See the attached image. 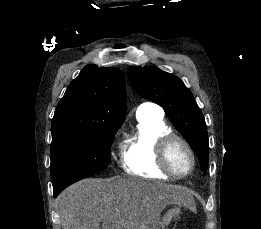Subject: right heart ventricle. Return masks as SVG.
I'll use <instances>...</instances> for the list:
<instances>
[{
	"instance_id": "right-heart-ventricle-1",
	"label": "right heart ventricle",
	"mask_w": 261,
	"mask_h": 229,
	"mask_svg": "<svg viewBox=\"0 0 261 229\" xmlns=\"http://www.w3.org/2000/svg\"><path fill=\"white\" fill-rule=\"evenodd\" d=\"M138 131L121 146V163L126 172L132 175H168L158 159L160 140L172 134L164 120V112L151 108H138Z\"/></svg>"
}]
</instances>
